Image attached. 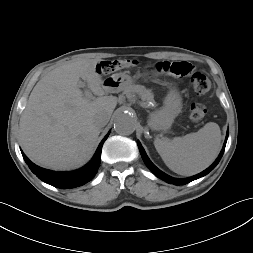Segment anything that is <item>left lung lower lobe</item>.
I'll return each mask as SVG.
<instances>
[{"instance_id":"1","label":"left lung lower lobe","mask_w":253,"mask_h":253,"mask_svg":"<svg viewBox=\"0 0 253 253\" xmlns=\"http://www.w3.org/2000/svg\"><path fill=\"white\" fill-rule=\"evenodd\" d=\"M227 138H228V131H227V135H226V139H225V143L223 145V149L222 151L220 152L218 158L215 160V162L209 167L207 168L206 170H204L203 172L197 174V175H194L192 177H189V178H185V179H177V178H173L167 174H165L164 172H162L161 170H159L150 160L149 158L147 157L143 147L141 146L140 142L138 141L137 144H138V147H139V150H140V153H141V156H142V159L143 161L145 162L146 166L150 169V171L155 175L157 176L158 178L166 181L167 183L169 184H174V185H184V184H187L193 180H196L198 178H201L205 175H207L210 171H212L216 165L219 163L223 153H224V149H225V146H226V142H227Z\"/></svg>"}]
</instances>
